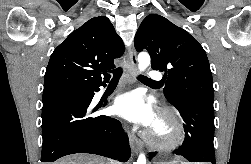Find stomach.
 Returning a JSON list of instances; mask_svg holds the SVG:
<instances>
[{
  "label": "stomach",
  "instance_id": "stomach-1",
  "mask_svg": "<svg viewBox=\"0 0 251 164\" xmlns=\"http://www.w3.org/2000/svg\"><path fill=\"white\" fill-rule=\"evenodd\" d=\"M155 164H185V162L179 163L178 161H173V162H160V163H155Z\"/></svg>",
  "mask_w": 251,
  "mask_h": 164
}]
</instances>
